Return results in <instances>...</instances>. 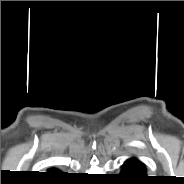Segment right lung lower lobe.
Listing matches in <instances>:
<instances>
[{
	"mask_svg": "<svg viewBox=\"0 0 184 184\" xmlns=\"http://www.w3.org/2000/svg\"><path fill=\"white\" fill-rule=\"evenodd\" d=\"M51 173L52 174H59V172H57V171H52Z\"/></svg>",
	"mask_w": 184,
	"mask_h": 184,
	"instance_id": "1",
	"label": "right lung lower lobe"
}]
</instances>
